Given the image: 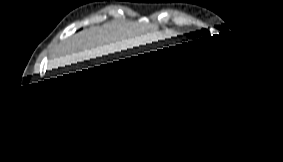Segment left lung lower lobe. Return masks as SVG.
Masks as SVG:
<instances>
[{"label": "left lung lower lobe", "mask_w": 283, "mask_h": 162, "mask_svg": "<svg viewBox=\"0 0 283 162\" xmlns=\"http://www.w3.org/2000/svg\"><path fill=\"white\" fill-rule=\"evenodd\" d=\"M211 42H216L212 36L206 37ZM200 55L213 56L229 54V51H222L220 45H207L196 50ZM229 57V56H228ZM167 64V59H161L150 65L151 70H161ZM226 73L223 74L222 73ZM209 75L215 77L218 88L207 100L195 107H183L174 104L168 98L167 86L160 81H153L147 90V94L154 105L159 122L168 127L183 130L186 134L195 137H202L219 130L226 121L234 98L239 87L238 68L236 62L229 60L226 70H210Z\"/></svg>", "instance_id": "1"}]
</instances>
